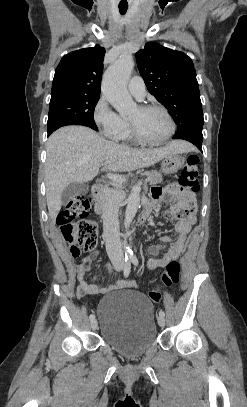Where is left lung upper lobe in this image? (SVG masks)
Masks as SVG:
<instances>
[{"label": "left lung upper lobe", "mask_w": 247, "mask_h": 407, "mask_svg": "<svg viewBox=\"0 0 247 407\" xmlns=\"http://www.w3.org/2000/svg\"><path fill=\"white\" fill-rule=\"evenodd\" d=\"M135 56L148 91L168 109L177 132L203 127L199 87L190 57L153 42Z\"/></svg>", "instance_id": "obj_1"}]
</instances>
